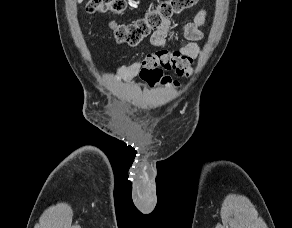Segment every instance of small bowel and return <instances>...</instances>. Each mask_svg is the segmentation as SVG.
<instances>
[{
    "label": "small bowel",
    "instance_id": "c3829d8e",
    "mask_svg": "<svg viewBox=\"0 0 292 228\" xmlns=\"http://www.w3.org/2000/svg\"><path fill=\"white\" fill-rule=\"evenodd\" d=\"M206 14L207 12L204 8L199 9L194 16L193 21L185 24L182 27L183 35L189 41L188 44L184 47L175 51H169L167 43V36L170 31L169 20L164 21L162 25L151 34V44L154 47L158 48L159 51L175 52L184 59L185 63L188 66H191L193 60L198 56L200 52V46L198 42L203 38V33L200 28L205 23ZM141 68L142 61H135L130 65L120 66L118 68V71L123 76L135 78L139 75Z\"/></svg>",
    "mask_w": 292,
    "mask_h": 228
}]
</instances>
